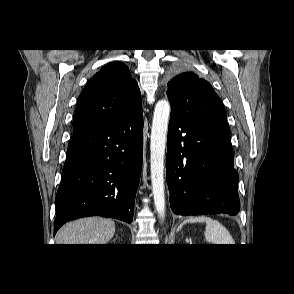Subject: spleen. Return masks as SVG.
<instances>
[{"instance_id":"3e777b00","label":"spleen","mask_w":294,"mask_h":294,"mask_svg":"<svg viewBox=\"0 0 294 294\" xmlns=\"http://www.w3.org/2000/svg\"><path fill=\"white\" fill-rule=\"evenodd\" d=\"M206 223L204 231L205 240L211 244H234L228 230L217 220L207 216H192L187 218L178 228L181 229L187 223Z\"/></svg>"}]
</instances>
